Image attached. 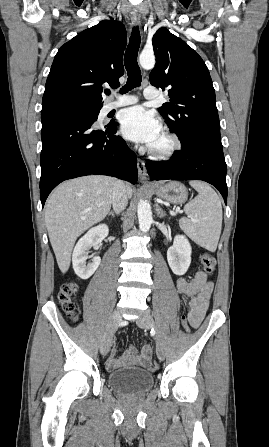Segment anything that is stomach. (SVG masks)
I'll list each match as a JSON object with an SVG mask.
<instances>
[{"label":"stomach","mask_w":269,"mask_h":447,"mask_svg":"<svg viewBox=\"0 0 269 447\" xmlns=\"http://www.w3.org/2000/svg\"><path fill=\"white\" fill-rule=\"evenodd\" d=\"M154 192L158 198L171 202V204H184L188 192L180 182H167V184H154Z\"/></svg>","instance_id":"0dacf381"}]
</instances>
